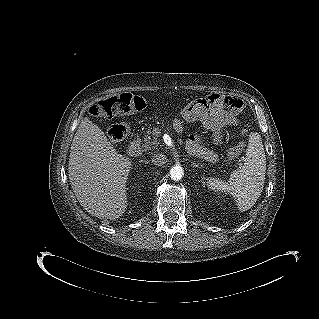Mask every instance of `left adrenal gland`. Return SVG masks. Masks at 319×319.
I'll list each match as a JSON object with an SVG mask.
<instances>
[{
  "label": "left adrenal gland",
  "instance_id": "1",
  "mask_svg": "<svg viewBox=\"0 0 319 319\" xmlns=\"http://www.w3.org/2000/svg\"><path fill=\"white\" fill-rule=\"evenodd\" d=\"M191 166L198 168V167H199V164H196V163H193V162H192Z\"/></svg>",
  "mask_w": 319,
  "mask_h": 319
}]
</instances>
